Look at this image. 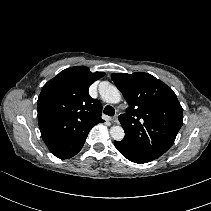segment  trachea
Listing matches in <instances>:
<instances>
[{
  "label": "trachea",
  "instance_id": "trachea-1",
  "mask_svg": "<svg viewBox=\"0 0 211 211\" xmlns=\"http://www.w3.org/2000/svg\"><path fill=\"white\" fill-rule=\"evenodd\" d=\"M104 114L108 115V116H113L115 114V109L110 106V105H107L105 108H104Z\"/></svg>",
  "mask_w": 211,
  "mask_h": 211
}]
</instances>
